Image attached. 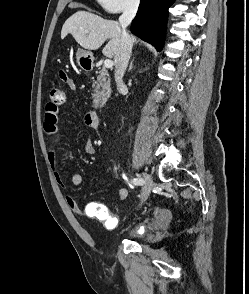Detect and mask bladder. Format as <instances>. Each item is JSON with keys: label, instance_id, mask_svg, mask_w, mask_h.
<instances>
[{"label": "bladder", "instance_id": "obj_1", "mask_svg": "<svg viewBox=\"0 0 249 294\" xmlns=\"http://www.w3.org/2000/svg\"><path fill=\"white\" fill-rule=\"evenodd\" d=\"M171 221V214L167 211H164L163 215L157 219L158 223L162 224H168ZM151 232L150 228L146 225H143L141 229L136 233V236L139 239H143L146 235H148Z\"/></svg>", "mask_w": 249, "mask_h": 294}]
</instances>
